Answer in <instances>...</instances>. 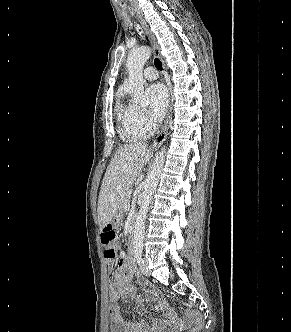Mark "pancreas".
I'll use <instances>...</instances> for the list:
<instances>
[{"instance_id":"1","label":"pancreas","mask_w":291,"mask_h":332,"mask_svg":"<svg viewBox=\"0 0 291 332\" xmlns=\"http://www.w3.org/2000/svg\"><path fill=\"white\" fill-rule=\"evenodd\" d=\"M130 196H131V190H127L123 196L121 197L120 199V207H119V210L121 212H125L126 211V204L130 202Z\"/></svg>"}]
</instances>
